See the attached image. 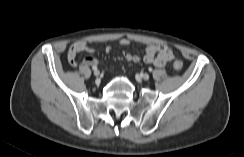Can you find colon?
<instances>
[{
	"instance_id": "obj_1",
	"label": "colon",
	"mask_w": 244,
	"mask_h": 157,
	"mask_svg": "<svg viewBox=\"0 0 244 157\" xmlns=\"http://www.w3.org/2000/svg\"><path fill=\"white\" fill-rule=\"evenodd\" d=\"M173 66L176 70H180L183 67V62L180 59H176L173 63Z\"/></svg>"
}]
</instances>
